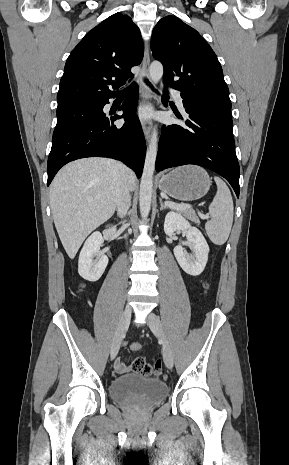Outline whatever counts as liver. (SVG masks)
<instances>
[{"instance_id": "6515ba94", "label": "liver", "mask_w": 289, "mask_h": 465, "mask_svg": "<svg viewBox=\"0 0 289 465\" xmlns=\"http://www.w3.org/2000/svg\"><path fill=\"white\" fill-rule=\"evenodd\" d=\"M123 176L133 191L137 179L106 158H84L65 165L50 186V207L61 243L73 259L85 238L116 209V191Z\"/></svg>"}]
</instances>
